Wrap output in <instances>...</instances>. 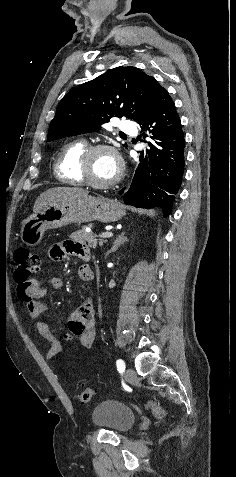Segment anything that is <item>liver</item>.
<instances>
[{"mask_svg":"<svg viewBox=\"0 0 236 477\" xmlns=\"http://www.w3.org/2000/svg\"><path fill=\"white\" fill-rule=\"evenodd\" d=\"M88 191L77 187H55L43 192L35 201L33 211L39 212L48 205L88 196Z\"/></svg>","mask_w":236,"mask_h":477,"instance_id":"obj_1","label":"liver"}]
</instances>
